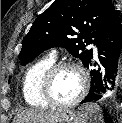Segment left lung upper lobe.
I'll list each match as a JSON object with an SVG mask.
<instances>
[{"instance_id": "obj_1", "label": "left lung upper lobe", "mask_w": 122, "mask_h": 123, "mask_svg": "<svg viewBox=\"0 0 122 123\" xmlns=\"http://www.w3.org/2000/svg\"><path fill=\"white\" fill-rule=\"evenodd\" d=\"M117 13L109 0H55L25 36L19 54L22 65L49 48L65 47L87 66L93 51L84 43L96 44Z\"/></svg>"}]
</instances>
